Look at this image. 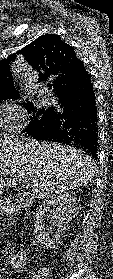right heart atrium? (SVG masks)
I'll return each instance as SVG.
<instances>
[{"label": "right heart atrium", "instance_id": "obj_1", "mask_svg": "<svg viewBox=\"0 0 113 279\" xmlns=\"http://www.w3.org/2000/svg\"><path fill=\"white\" fill-rule=\"evenodd\" d=\"M28 109L18 100H8L0 107V127L6 134H17L29 120Z\"/></svg>", "mask_w": 113, "mask_h": 279}]
</instances>
